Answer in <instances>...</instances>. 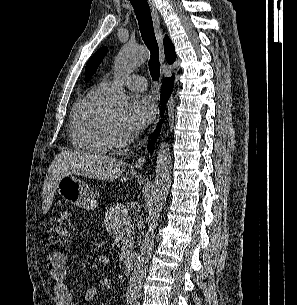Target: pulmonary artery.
Masks as SVG:
<instances>
[{
	"instance_id": "e3ab8cb5",
	"label": "pulmonary artery",
	"mask_w": 297,
	"mask_h": 305,
	"mask_svg": "<svg viewBox=\"0 0 297 305\" xmlns=\"http://www.w3.org/2000/svg\"><path fill=\"white\" fill-rule=\"evenodd\" d=\"M122 83L130 90L132 91H137V92H142L145 91L147 88V82L146 79L142 76L132 74L127 77H125L122 80ZM113 85V82L111 80L105 79L100 83V87L108 91Z\"/></svg>"
}]
</instances>
